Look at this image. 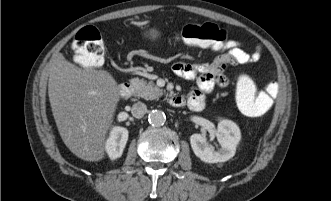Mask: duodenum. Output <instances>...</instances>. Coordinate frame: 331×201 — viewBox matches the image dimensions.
Masks as SVG:
<instances>
[{"instance_id":"duodenum-1","label":"duodenum","mask_w":331,"mask_h":201,"mask_svg":"<svg viewBox=\"0 0 331 201\" xmlns=\"http://www.w3.org/2000/svg\"><path fill=\"white\" fill-rule=\"evenodd\" d=\"M132 91V85L129 82H123L118 87V94L121 99H126ZM169 104L173 107L184 105V98L181 95L171 94L169 96Z\"/></svg>"}]
</instances>
